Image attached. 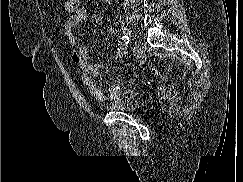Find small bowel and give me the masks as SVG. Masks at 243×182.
<instances>
[{"label": "small bowel", "mask_w": 243, "mask_h": 182, "mask_svg": "<svg viewBox=\"0 0 243 182\" xmlns=\"http://www.w3.org/2000/svg\"><path fill=\"white\" fill-rule=\"evenodd\" d=\"M86 18L87 10L84 8H80L76 13L67 17L62 23V32L67 38L71 48V59L80 70L81 81L88 88L91 95H93L99 101H115L116 99H118L120 93L124 89L122 82L117 81L107 90H102L93 80V77L98 76L101 72L100 64L91 62L86 48L83 45L77 44L74 30L81 22L86 20ZM109 31L112 32V29L109 28ZM126 54L127 47L122 43H118L116 59L120 60ZM134 56L138 60L143 62L144 55L140 49L134 51Z\"/></svg>", "instance_id": "obj_1"}]
</instances>
